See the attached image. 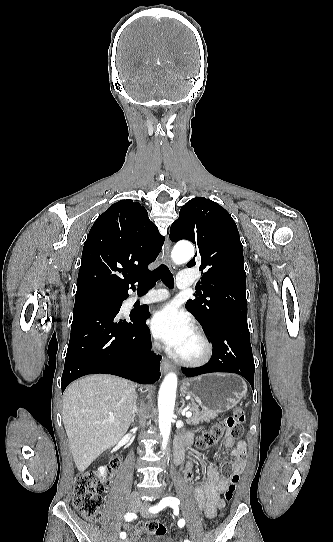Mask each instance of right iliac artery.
Instances as JSON below:
<instances>
[{"label": "right iliac artery", "instance_id": "1", "mask_svg": "<svg viewBox=\"0 0 333 542\" xmlns=\"http://www.w3.org/2000/svg\"><path fill=\"white\" fill-rule=\"evenodd\" d=\"M125 519H126V521L132 520V519H133L132 514H131V513H127V514L125 515ZM120 538H122V539L126 538V533H125V532H121V533H120Z\"/></svg>", "mask_w": 333, "mask_h": 542}]
</instances>
